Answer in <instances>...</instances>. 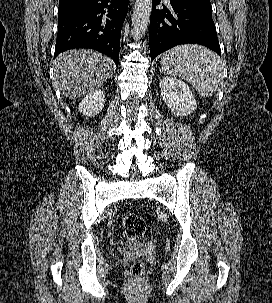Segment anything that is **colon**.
Returning a JSON list of instances; mask_svg holds the SVG:
<instances>
[{
	"label": "colon",
	"mask_w": 272,
	"mask_h": 303,
	"mask_svg": "<svg viewBox=\"0 0 272 303\" xmlns=\"http://www.w3.org/2000/svg\"><path fill=\"white\" fill-rule=\"evenodd\" d=\"M123 229L125 233L133 238L141 237L146 230V221L137 213H127L123 218ZM143 264L140 260L133 262L131 274L135 279L141 278L143 274Z\"/></svg>",
	"instance_id": "obj_1"
}]
</instances>
